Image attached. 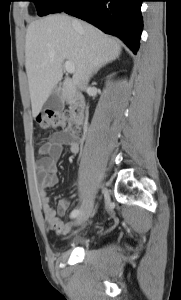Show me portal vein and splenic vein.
<instances>
[{
	"label": "portal vein and splenic vein",
	"instance_id": "portal-vein-and-splenic-vein-1",
	"mask_svg": "<svg viewBox=\"0 0 181 300\" xmlns=\"http://www.w3.org/2000/svg\"><path fill=\"white\" fill-rule=\"evenodd\" d=\"M64 68L68 73H74L75 72V67L70 61H66L64 64Z\"/></svg>",
	"mask_w": 181,
	"mask_h": 300
}]
</instances>
